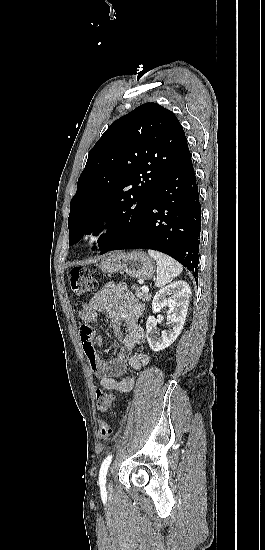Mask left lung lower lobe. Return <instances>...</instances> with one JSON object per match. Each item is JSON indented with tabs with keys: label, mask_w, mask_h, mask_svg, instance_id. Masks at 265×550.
<instances>
[{
	"label": "left lung lower lobe",
	"mask_w": 265,
	"mask_h": 550,
	"mask_svg": "<svg viewBox=\"0 0 265 550\" xmlns=\"http://www.w3.org/2000/svg\"><path fill=\"white\" fill-rule=\"evenodd\" d=\"M200 217L198 186L188 150L169 172L137 223L119 240L100 248H145L163 252L198 276Z\"/></svg>",
	"instance_id": "0a47b994"
}]
</instances>
